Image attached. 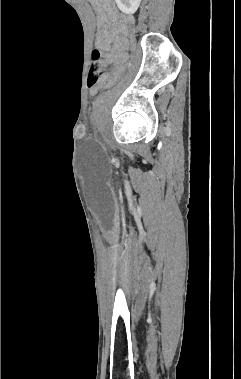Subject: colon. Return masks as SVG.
<instances>
[{
	"instance_id": "colon-1",
	"label": "colon",
	"mask_w": 241,
	"mask_h": 379,
	"mask_svg": "<svg viewBox=\"0 0 241 379\" xmlns=\"http://www.w3.org/2000/svg\"><path fill=\"white\" fill-rule=\"evenodd\" d=\"M125 35L128 38V45L130 47L131 53L137 52L138 47V37L136 36V24L135 23H128L127 28L125 30ZM132 60V59H131ZM131 67L130 61H123L122 64L119 65L120 71H115L114 76H111L110 79L105 80V84L99 89L100 93L108 92L110 90V87L114 85V83L123 81V77L125 76V71L127 68ZM102 70H103V60H102V53L100 49L96 48L93 50L92 53V64L91 69L88 76V85L89 86H95L102 77Z\"/></svg>"
}]
</instances>
